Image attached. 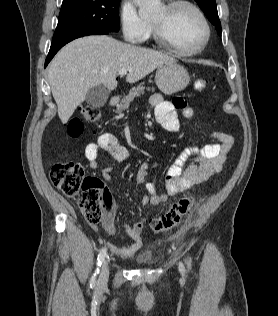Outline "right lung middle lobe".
<instances>
[{
  "label": "right lung middle lobe",
  "instance_id": "1",
  "mask_svg": "<svg viewBox=\"0 0 278 316\" xmlns=\"http://www.w3.org/2000/svg\"><path fill=\"white\" fill-rule=\"evenodd\" d=\"M120 0H63L52 45L89 32L119 31Z\"/></svg>",
  "mask_w": 278,
  "mask_h": 316
}]
</instances>
